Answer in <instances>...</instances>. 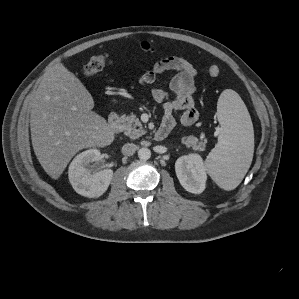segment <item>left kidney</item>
I'll list each match as a JSON object with an SVG mask.
<instances>
[{"mask_svg": "<svg viewBox=\"0 0 299 299\" xmlns=\"http://www.w3.org/2000/svg\"><path fill=\"white\" fill-rule=\"evenodd\" d=\"M175 171L180 184L186 191L194 194L204 191L207 172L200 155L189 154L178 158Z\"/></svg>", "mask_w": 299, "mask_h": 299, "instance_id": "obj_1", "label": "left kidney"}]
</instances>
